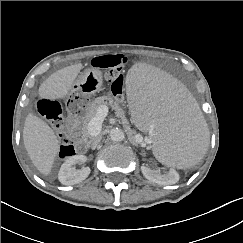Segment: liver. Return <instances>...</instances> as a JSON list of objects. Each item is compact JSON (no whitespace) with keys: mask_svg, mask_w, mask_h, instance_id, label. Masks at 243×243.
Returning a JSON list of instances; mask_svg holds the SVG:
<instances>
[{"mask_svg":"<svg viewBox=\"0 0 243 243\" xmlns=\"http://www.w3.org/2000/svg\"><path fill=\"white\" fill-rule=\"evenodd\" d=\"M83 65L81 63L60 69L50 75L39 87V96L57 100L67 97ZM26 151L36 169L47 176L59 151V140L50 126L29 113L23 129Z\"/></svg>","mask_w":243,"mask_h":243,"instance_id":"obj_1","label":"liver"}]
</instances>
